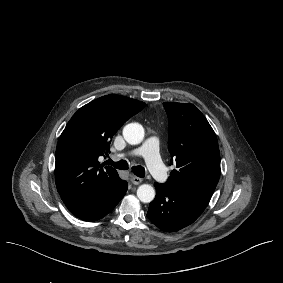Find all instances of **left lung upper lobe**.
Returning <instances> with one entry per match:
<instances>
[{"mask_svg": "<svg viewBox=\"0 0 283 283\" xmlns=\"http://www.w3.org/2000/svg\"><path fill=\"white\" fill-rule=\"evenodd\" d=\"M163 106L169 123L170 165L176 162L164 185L208 203L220 177L216 134L194 105L165 102Z\"/></svg>", "mask_w": 283, "mask_h": 283, "instance_id": "5c2ea615", "label": "left lung upper lobe"}]
</instances>
